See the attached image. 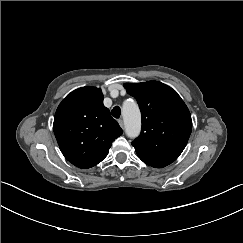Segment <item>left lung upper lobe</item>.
<instances>
[{
    "mask_svg": "<svg viewBox=\"0 0 243 243\" xmlns=\"http://www.w3.org/2000/svg\"><path fill=\"white\" fill-rule=\"evenodd\" d=\"M124 87L142 113L141 134L132 142L138 157L155 168L169 165L182 153L191 134L187 106L171 87L158 81L125 83Z\"/></svg>",
    "mask_w": 243,
    "mask_h": 243,
    "instance_id": "obj_1",
    "label": "left lung upper lobe"
}]
</instances>
